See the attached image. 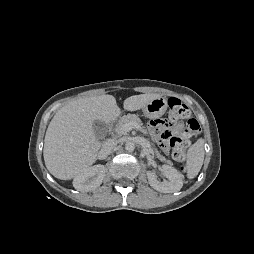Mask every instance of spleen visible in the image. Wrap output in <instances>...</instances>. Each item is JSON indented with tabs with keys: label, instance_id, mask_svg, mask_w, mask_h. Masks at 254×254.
I'll return each mask as SVG.
<instances>
[{
	"label": "spleen",
	"instance_id": "1",
	"mask_svg": "<svg viewBox=\"0 0 254 254\" xmlns=\"http://www.w3.org/2000/svg\"><path fill=\"white\" fill-rule=\"evenodd\" d=\"M204 139H198L188 150L186 169L187 177L192 179L196 177L203 165L204 161Z\"/></svg>",
	"mask_w": 254,
	"mask_h": 254
}]
</instances>
